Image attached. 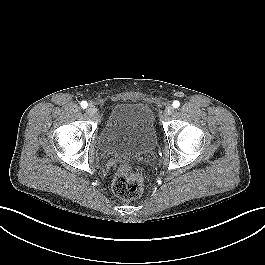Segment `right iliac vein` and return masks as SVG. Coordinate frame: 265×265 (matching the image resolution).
I'll return each instance as SVG.
<instances>
[{"label": "right iliac vein", "mask_w": 265, "mask_h": 265, "mask_svg": "<svg viewBox=\"0 0 265 265\" xmlns=\"http://www.w3.org/2000/svg\"><path fill=\"white\" fill-rule=\"evenodd\" d=\"M86 111L90 116H95L97 112L94 105H89Z\"/></svg>", "instance_id": "1"}]
</instances>
